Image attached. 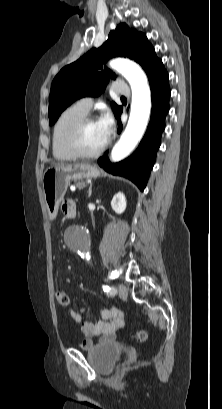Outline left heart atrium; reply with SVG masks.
<instances>
[{"mask_svg": "<svg viewBox=\"0 0 222 409\" xmlns=\"http://www.w3.org/2000/svg\"><path fill=\"white\" fill-rule=\"evenodd\" d=\"M102 132L104 141L107 142L113 132V118L109 113L103 114L97 121Z\"/></svg>", "mask_w": 222, "mask_h": 409, "instance_id": "39dd6f15", "label": "left heart atrium"}]
</instances>
